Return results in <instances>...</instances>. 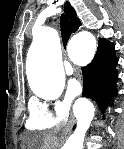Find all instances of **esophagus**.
<instances>
[{
    "mask_svg": "<svg viewBox=\"0 0 124 149\" xmlns=\"http://www.w3.org/2000/svg\"><path fill=\"white\" fill-rule=\"evenodd\" d=\"M72 123H73V119L70 120V121L66 124V126L64 127V129H63V132H64V133H68V132L70 131V128H71Z\"/></svg>",
    "mask_w": 124,
    "mask_h": 149,
    "instance_id": "1",
    "label": "esophagus"
}]
</instances>
